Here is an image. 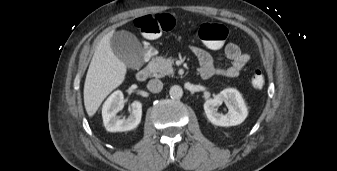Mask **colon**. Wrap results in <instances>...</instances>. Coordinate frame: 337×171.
<instances>
[{"mask_svg": "<svg viewBox=\"0 0 337 171\" xmlns=\"http://www.w3.org/2000/svg\"><path fill=\"white\" fill-rule=\"evenodd\" d=\"M136 28L147 37H154L163 31H170L176 26V19L170 14L146 15L135 20ZM199 43L204 48L221 49L226 44L228 35L225 26L212 23H201L196 28ZM143 52L140 60L144 64H149L157 55L155 44L151 40H146L142 44ZM252 86L261 89L265 84V76L260 69L253 71L251 78Z\"/></svg>", "mask_w": 337, "mask_h": 171, "instance_id": "5ec220e1", "label": "colon"}]
</instances>
